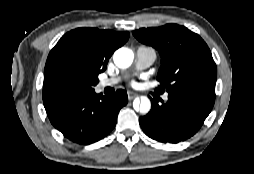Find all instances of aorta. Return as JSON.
<instances>
[{
	"mask_svg": "<svg viewBox=\"0 0 254 174\" xmlns=\"http://www.w3.org/2000/svg\"><path fill=\"white\" fill-rule=\"evenodd\" d=\"M134 59V54L129 48L122 47L118 49L113 56L114 63L119 68H128ZM133 106L135 110L140 111L142 114H146L150 111L151 102L150 100L142 96L140 99H135Z\"/></svg>",
	"mask_w": 254,
	"mask_h": 174,
	"instance_id": "1",
	"label": "aorta"
}]
</instances>
